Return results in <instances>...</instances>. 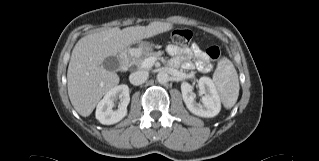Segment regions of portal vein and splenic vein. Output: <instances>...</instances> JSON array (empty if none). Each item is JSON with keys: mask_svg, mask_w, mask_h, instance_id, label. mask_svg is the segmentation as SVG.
<instances>
[{"mask_svg": "<svg viewBox=\"0 0 319 161\" xmlns=\"http://www.w3.org/2000/svg\"><path fill=\"white\" fill-rule=\"evenodd\" d=\"M157 59L155 57H149L146 58L143 62H142V67L143 68H151L153 66V64L155 63Z\"/></svg>", "mask_w": 319, "mask_h": 161, "instance_id": "portal-vein-and-splenic-vein-1", "label": "portal vein and splenic vein"}]
</instances>
